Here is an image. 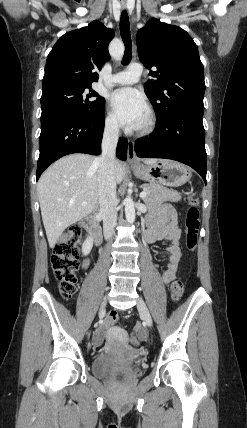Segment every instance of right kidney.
<instances>
[{"instance_id":"ca27d5eb","label":"right kidney","mask_w":247,"mask_h":428,"mask_svg":"<svg viewBox=\"0 0 247 428\" xmlns=\"http://www.w3.org/2000/svg\"><path fill=\"white\" fill-rule=\"evenodd\" d=\"M93 247V239L91 236H88L83 243L82 253L84 256L88 255Z\"/></svg>"}]
</instances>
